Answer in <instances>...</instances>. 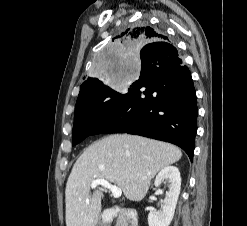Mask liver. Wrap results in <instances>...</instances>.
Segmentation results:
<instances>
[{
	"mask_svg": "<svg viewBox=\"0 0 247 226\" xmlns=\"http://www.w3.org/2000/svg\"><path fill=\"white\" fill-rule=\"evenodd\" d=\"M181 157L172 144L136 135H109L92 143L77 159L66 184V226H96L103 193H91L94 180L114 183L127 199L141 201L154 176Z\"/></svg>",
	"mask_w": 247,
	"mask_h": 226,
	"instance_id": "obj_1",
	"label": "liver"
}]
</instances>
